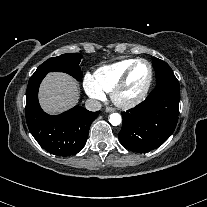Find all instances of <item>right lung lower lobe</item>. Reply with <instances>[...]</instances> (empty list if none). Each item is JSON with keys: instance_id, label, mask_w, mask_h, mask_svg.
Segmentation results:
<instances>
[{"instance_id": "obj_1", "label": "right lung lower lobe", "mask_w": 207, "mask_h": 207, "mask_svg": "<svg viewBox=\"0 0 207 207\" xmlns=\"http://www.w3.org/2000/svg\"><path fill=\"white\" fill-rule=\"evenodd\" d=\"M45 73L32 75L26 92V121L28 128L42 148L58 156H71L81 151L87 141L89 128L100 111L90 112L75 106L60 115L45 113L38 102V89Z\"/></svg>"}]
</instances>
